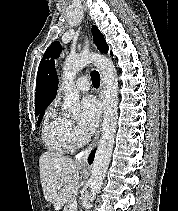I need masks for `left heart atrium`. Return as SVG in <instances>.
Returning <instances> with one entry per match:
<instances>
[{"mask_svg":"<svg viewBox=\"0 0 178 211\" xmlns=\"http://www.w3.org/2000/svg\"><path fill=\"white\" fill-rule=\"evenodd\" d=\"M100 116V105L96 98L88 96L81 102V116L79 126L87 134L97 125Z\"/></svg>","mask_w":178,"mask_h":211,"instance_id":"39dd6f15","label":"left heart atrium"}]
</instances>
